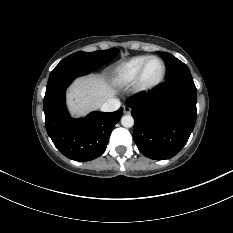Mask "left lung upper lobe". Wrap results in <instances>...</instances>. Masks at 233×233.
Returning a JSON list of instances; mask_svg holds the SVG:
<instances>
[{
	"mask_svg": "<svg viewBox=\"0 0 233 233\" xmlns=\"http://www.w3.org/2000/svg\"><path fill=\"white\" fill-rule=\"evenodd\" d=\"M161 56L165 59L167 66L166 82L176 79H192L189 68L182 61L166 52Z\"/></svg>",
	"mask_w": 233,
	"mask_h": 233,
	"instance_id": "left-lung-upper-lobe-1",
	"label": "left lung upper lobe"
}]
</instances>
